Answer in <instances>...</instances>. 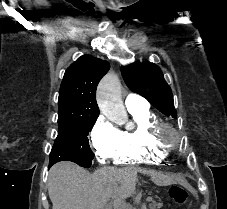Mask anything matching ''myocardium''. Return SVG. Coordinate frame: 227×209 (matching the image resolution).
I'll list each match as a JSON object with an SVG mask.
<instances>
[{"mask_svg": "<svg viewBox=\"0 0 227 209\" xmlns=\"http://www.w3.org/2000/svg\"><path fill=\"white\" fill-rule=\"evenodd\" d=\"M149 141L167 152L182 150L186 145L184 134L172 123L158 120L147 129Z\"/></svg>", "mask_w": 227, "mask_h": 209, "instance_id": "obj_1", "label": "myocardium"}]
</instances>
